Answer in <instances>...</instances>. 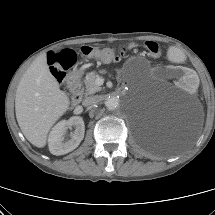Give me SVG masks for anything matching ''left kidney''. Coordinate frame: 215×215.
<instances>
[{"mask_svg":"<svg viewBox=\"0 0 215 215\" xmlns=\"http://www.w3.org/2000/svg\"><path fill=\"white\" fill-rule=\"evenodd\" d=\"M171 78L174 82L180 83L183 90L189 93L198 90L201 84L199 76L187 68L174 69Z\"/></svg>","mask_w":215,"mask_h":215,"instance_id":"obj_1","label":"left kidney"}]
</instances>
